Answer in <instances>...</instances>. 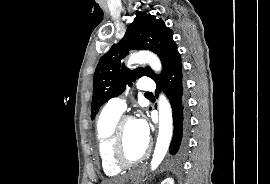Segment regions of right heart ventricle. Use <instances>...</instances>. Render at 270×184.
I'll list each match as a JSON object with an SVG mask.
<instances>
[{
    "label": "right heart ventricle",
    "mask_w": 270,
    "mask_h": 184,
    "mask_svg": "<svg viewBox=\"0 0 270 184\" xmlns=\"http://www.w3.org/2000/svg\"><path fill=\"white\" fill-rule=\"evenodd\" d=\"M120 116L121 113L105 107L100 113L96 123V138L100 163L103 172L107 176H116L122 170V168L112 162L110 153L114 127Z\"/></svg>",
    "instance_id": "obj_1"
}]
</instances>
